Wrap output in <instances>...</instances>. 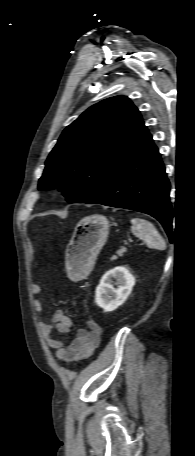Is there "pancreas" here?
I'll list each match as a JSON object with an SVG mask.
<instances>
[{"instance_id":"cf45deb5","label":"pancreas","mask_w":195,"mask_h":456,"mask_svg":"<svg viewBox=\"0 0 195 456\" xmlns=\"http://www.w3.org/2000/svg\"><path fill=\"white\" fill-rule=\"evenodd\" d=\"M125 252H126V248H125V247H121V249H119V250L117 251V255L121 257V256H123V254H124ZM118 256L113 255V256L111 257V260H116V259L118 258Z\"/></svg>"}]
</instances>
